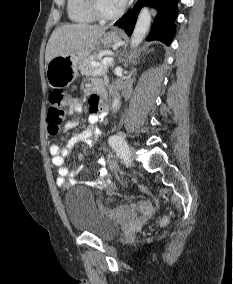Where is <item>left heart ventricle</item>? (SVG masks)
<instances>
[{
    "label": "left heart ventricle",
    "instance_id": "left-heart-ventricle-1",
    "mask_svg": "<svg viewBox=\"0 0 233 284\" xmlns=\"http://www.w3.org/2000/svg\"><path fill=\"white\" fill-rule=\"evenodd\" d=\"M101 7L106 12H114L120 8L115 0H100Z\"/></svg>",
    "mask_w": 233,
    "mask_h": 284
}]
</instances>
